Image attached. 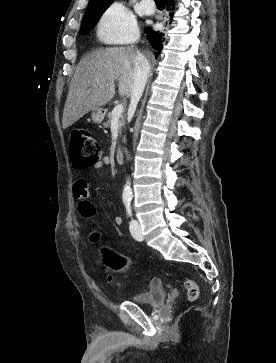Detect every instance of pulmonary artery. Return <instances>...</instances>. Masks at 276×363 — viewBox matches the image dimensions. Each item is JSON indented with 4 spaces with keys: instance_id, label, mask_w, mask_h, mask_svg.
<instances>
[{
    "instance_id": "1",
    "label": "pulmonary artery",
    "mask_w": 276,
    "mask_h": 363,
    "mask_svg": "<svg viewBox=\"0 0 276 363\" xmlns=\"http://www.w3.org/2000/svg\"><path fill=\"white\" fill-rule=\"evenodd\" d=\"M148 3H149L148 0H143L141 2V6L143 9V13L150 15L154 12V9L152 7H150Z\"/></svg>"
}]
</instances>
